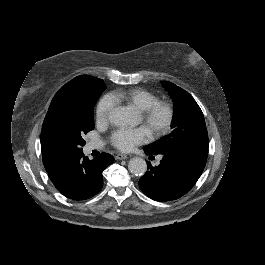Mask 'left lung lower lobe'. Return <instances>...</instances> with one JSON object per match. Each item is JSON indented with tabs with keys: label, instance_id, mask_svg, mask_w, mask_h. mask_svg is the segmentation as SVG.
I'll use <instances>...</instances> for the list:
<instances>
[{
	"label": "left lung lower lobe",
	"instance_id": "0a47b994",
	"mask_svg": "<svg viewBox=\"0 0 265 265\" xmlns=\"http://www.w3.org/2000/svg\"><path fill=\"white\" fill-rule=\"evenodd\" d=\"M162 155L159 166L148 163L149 170L139 180V187L151 199L164 202L191 190L204 170L208 148L190 146Z\"/></svg>",
	"mask_w": 265,
	"mask_h": 265
}]
</instances>
